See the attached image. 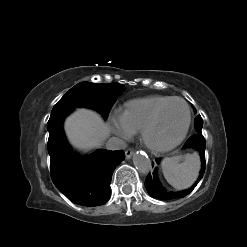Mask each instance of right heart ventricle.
<instances>
[{"label": "right heart ventricle", "instance_id": "right-heart-ventricle-1", "mask_svg": "<svg viewBox=\"0 0 247 247\" xmlns=\"http://www.w3.org/2000/svg\"><path fill=\"white\" fill-rule=\"evenodd\" d=\"M170 98L172 97L151 95L131 100L126 103L123 116L133 132L141 131L154 111Z\"/></svg>", "mask_w": 247, "mask_h": 247}]
</instances>
